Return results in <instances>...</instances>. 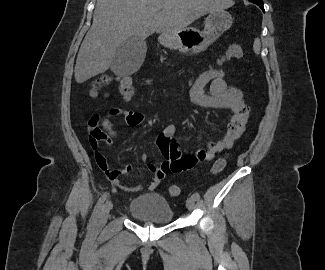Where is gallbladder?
<instances>
[{
  "label": "gallbladder",
  "instance_id": "gallbladder-1",
  "mask_svg": "<svg viewBox=\"0 0 325 270\" xmlns=\"http://www.w3.org/2000/svg\"><path fill=\"white\" fill-rule=\"evenodd\" d=\"M147 51L146 42L132 36L117 49L111 64V70L118 76L135 73L142 65Z\"/></svg>",
  "mask_w": 325,
  "mask_h": 270
}]
</instances>
